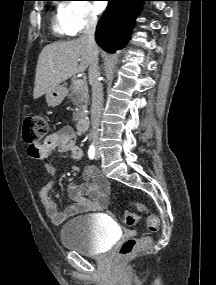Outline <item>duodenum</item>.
Listing matches in <instances>:
<instances>
[{
	"mask_svg": "<svg viewBox=\"0 0 216 285\" xmlns=\"http://www.w3.org/2000/svg\"><path fill=\"white\" fill-rule=\"evenodd\" d=\"M89 127V120L86 117H81L78 121V129L80 131H85Z\"/></svg>",
	"mask_w": 216,
	"mask_h": 285,
	"instance_id": "410a0bca",
	"label": "duodenum"
}]
</instances>
